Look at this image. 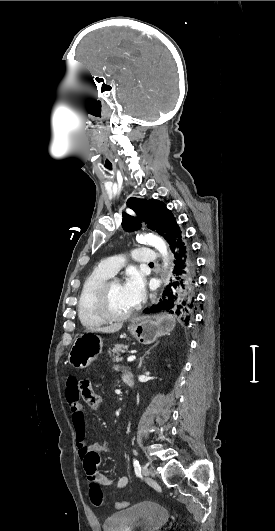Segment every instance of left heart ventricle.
Returning a JSON list of instances; mask_svg holds the SVG:
<instances>
[{"label":"left heart ventricle","instance_id":"left-heart-ventricle-1","mask_svg":"<svg viewBox=\"0 0 275 531\" xmlns=\"http://www.w3.org/2000/svg\"><path fill=\"white\" fill-rule=\"evenodd\" d=\"M109 306L116 315H123L134 309L125 292L123 283L115 282L110 286Z\"/></svg>","mask_w":275,"mask_h":531}]
</instances>
